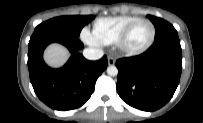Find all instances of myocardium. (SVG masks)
Wrapping results in <instances>:
<instances>
[{"label": "myocardium", "mask_w": 203, "mask_h": 123, "mask_svg": "<svg viewBox=\"0 0 203 123\" xmlns=\"http://www.w3.org/2000/svg\"><path fill=\"white\" fill-rule=\"evenodd\" d=\"M142 22H146L151 26L152 29V34L151 37L149 39V41L141 48L138 49H130L126 46V42L127 39L131 33V31L133 30V28ZM156 38V27L154 25V23L152 21H150L149 19H145V18H140L134 22H132L131 24H129L120 34V36L118 37L117 41L115 42L116 47L118 48V50L126 55V56H136V55H140L142 53H144L145 51H147L152 44L154 43Z\"/></svg>", "instance_id": "obj_1"}]
</instances>
